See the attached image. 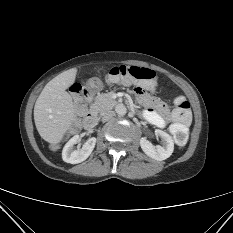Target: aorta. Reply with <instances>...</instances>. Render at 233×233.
<instances>
[{"mask_svg":"<svg viewBox=\"0 0 233 233\" xmlns=\"http://www.w3.org/2000/svg\"><path fill=\"white\" fill-rule=\"evenodd\" d=\"M115 110H116V113L121 116L125 115L127 112V109L123 104L117 105Z\"/></svg>","mask_w":233,"mask_h":233,"instance_id":"762f6f07","label":"aorta"}]
</instances>
